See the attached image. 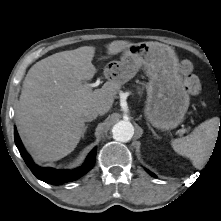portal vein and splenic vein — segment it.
Wrapping results in <instances>:
<instances>
[{
    "mask_svg": "<svg viewBox=\"0 0 221 221\" xmlns=\"http://www.w3.org/2000/svg\"><path fill=\"white\" fill-rule=\"evenodd\" d=\"M89 87H95L96 85L93 83V84H88Z\"/></svg>",
    "mask_w": 221,
    "mask_h": 221,
    "instance_id": "portal-vein-and-splenic-vein-1",
    "label": "portal vein and splenic vein"
}]
</instances>
